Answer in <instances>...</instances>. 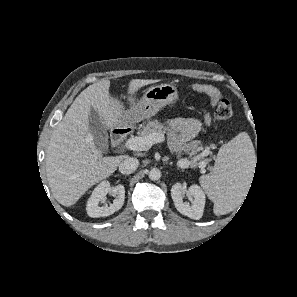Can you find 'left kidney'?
<instances>
[{"label":"left kidney","instance_id":"5707ae66","mask_svg":"<svg viewBox=\"0 0 297 297\" xmlns=\"http://www.w3.org/2000/svg\"><path fill=\"white\" fill-rule=\"evenodd\" d=\"M186 189L180 183H176L171 188V196L174 201L176 209L183 215L188 216L191 219H200L203 216L205 206V192L203 189L194 184L186 191L189 195L193 196V200L190 203L183 202V194Z\"/></svg>","mask_w":297,"mask_h":297}]
</instances>
